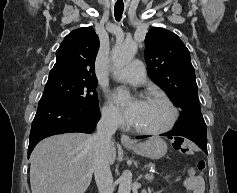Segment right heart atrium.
Here are the masks:
<instances>
[{"label":"right heart atrium","instance_id":"d8ad5b80","mask_svg":"<svg viewBox=\"0 0 237 193\" xmlns=\"http://www.w3.org/2000/svg\"><path fill=\"white\" fill-rule=\"evenodd\" d=\"M101 114L104 122L111 126L117 127L123 123V119L119 111L109 103L103 106Z\"/></svg>","mask_w":237,"mask_h":193}]
</instances>
